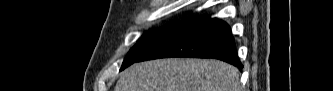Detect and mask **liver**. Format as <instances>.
Instances as JSON below:
<instances>
[{
	"instance_id": "liver-1",
	"label": "liver",
	"mask_w": 333,
	"mask_h": 91,
	"mask_svg": "<svg viewBox=\"0 0 333 91\" xmlns=\"http://www.w3.org/2000/svg\"><path fill=\"white\" fill-rule=\"evenodd\" d=\"M240 73L219 60L163 59L127 68L114 91H240Z\"/></svg>"
}]
</instances>
